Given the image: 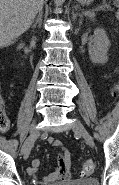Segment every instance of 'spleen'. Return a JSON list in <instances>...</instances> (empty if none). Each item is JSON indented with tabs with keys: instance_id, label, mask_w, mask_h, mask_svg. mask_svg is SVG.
I'll use <instances>...</instances> for the list:
<instances>
[{
	"instance_id": "1",
	"label": "spleen",
	"mask_w": 119,
	"mask_h": 185,
	"mask_svg": "<svg viewBox=\"0 0 119 185\" xmlns=\"http://www.w3.org/2000/svg\"><path fill=\"white\" fill-rule=\"evenodd\" d=\"M117 3H119V0H115Z\"/></svg>"
}]
</instances>
